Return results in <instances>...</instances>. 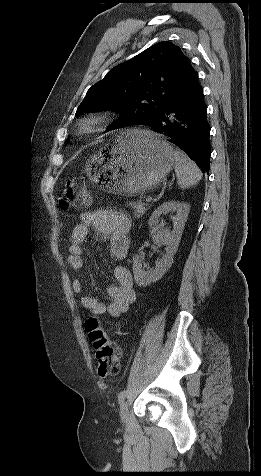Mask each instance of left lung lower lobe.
Here are the masks:
<instances>
[{
    "instance_id": "0a47b994",
    "label": "left lung lower lobe",
    "mask_w": 261,
    "mask_h": 476,
    "mask_svg": "<svg viewBox=\"0 0 261 476\" xmlns=\"http://www.w3.org/2000/svg\"><path fill=\"white\" fill-rule=\"evenodd\" d=\"M206 111L203 89L195 71L165 109L142 125L154 128L208 173L211 145Z\"/></svg>"
}]
</instances>
